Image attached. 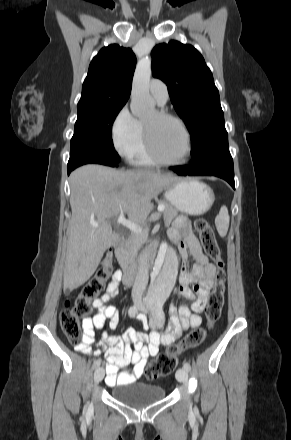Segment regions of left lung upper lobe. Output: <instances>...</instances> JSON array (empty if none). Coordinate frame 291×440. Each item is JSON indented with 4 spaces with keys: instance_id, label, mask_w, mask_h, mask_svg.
Instances as JSON below:
<instances>
[{
    "instance_id": "obj_1",
    "label": "left lung upper lobe",
    "mask_w": 291,
    "mask_h": 440,
    "mask_svg": "<svg viewBox=\"0 0 291 440\" xmlns=\"http://www.w3.org/2000/svg\"><path fill=\"white\" fill-rule=\"evenodd\" d=\"M152 74L168 86L171 102L191 134L193 158L228 139L218 89L197 49L174 40L157 45Z\"/></svg>"
}]
</instances>
